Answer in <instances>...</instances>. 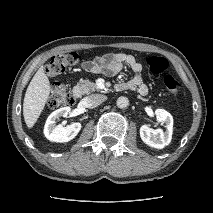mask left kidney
Masks as SVG:
<instances>
[{
	"instance_id": "left-kidney-1",
	"label": "left kidney",
	"mask_w": 213,
	"mask_h": 213,
	"mask_svg": "<svg viewBox=\"0 0 213 213\" xmlns=\"http://www.w3.org/2000/svg\"><path fill=\"white\" fill-rule=\"evenodd\" d=\"M156 118L159 122L165 123L166 131L162 129H152L147 125L140 128V137L142 141L150 147L163 149L171 142L173 132V117L164 109H157L155 111Z\"/></svg>"
}]
</instances>
